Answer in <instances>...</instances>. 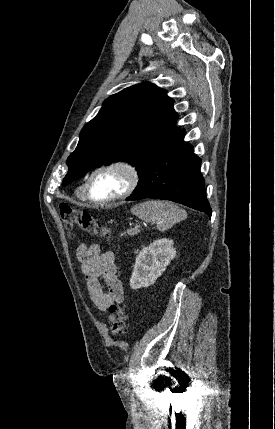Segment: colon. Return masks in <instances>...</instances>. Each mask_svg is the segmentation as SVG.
<instances>
[{
	"instance_id": "colon-1",
	"label": "colon",
	"mask_w": 275,
	"mask_h": 429,
	"mask_svg": "<svg viewBox=\"0 0 275 429\" xmlns=\"http://www.w3.org/2000/svg\"><path fill=\"white\" fill-rule=\"evenodd\" d=\"M60 217L64 227L68 231L80 229L83 232L96 235L103 239H108L111 235L109 226L96 220L88 211L72 207L66 203L59 205ZM109 321L112 334L123 335L126 332V314L124 307L113 304L108 309Z\"/></svg>"
}]
</instances>
